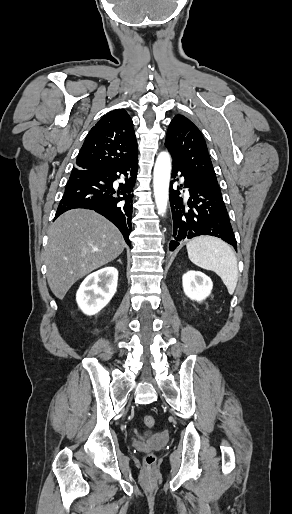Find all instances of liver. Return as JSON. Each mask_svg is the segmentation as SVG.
I'll use <instances>...</instances> for the list:
<instances>
[{
	"label": "liver",
	"mask_w": 292,
	"mask_h": 514,
	"mask_svg": "<svg viewBox=\"0 0 292 514\" xmlns=\"http://www.w3.org/2000/svg\"><path fill=\"white\" fill-rule=\"evenodd\" d=\"M125 242L118 228L93 210H69L48 230L47 280L63 300L71 286L93 270L118 258Z\"/></svg>",
	"instance_id": "1"
}]
</instances>
